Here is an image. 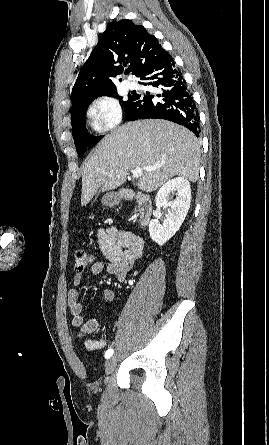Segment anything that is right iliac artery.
<instances>
[{"mask_svg": "<svg viewBox=\"0 0 269 445\" xmlns=\"http://www.w3.org/2000/svg\"><path fill=\"white\" fill-rule=\"evenodd\" d=\"M113 353H114V350L113 349H108L106 352H105V358H110L112 355H113Z\"/></svg>", "mask_w": 269, "mask_h": 445, "instance_id": "right-iliac-artery-1", "label": "right iliac artery"}]
</instances>
